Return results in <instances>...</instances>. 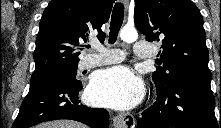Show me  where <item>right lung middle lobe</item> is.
I'll return each mask as SVG.
<instances>
[{"label": "right lung middle lobe", "instance_id": "right-lung-middle-lobe-1", "mask_svg": "<svg viewBox=\"0 0 221 128\" xmlns=\"http://www.w3.org/2000/svg\"><path fill=\"white\" fill-rule=\"evenodd\" d=\"M76 73H77V65L65 67L45 75L31 76L30 85H35L52 78L69 80L77 84H81L80 81L76 79Z\"/></svg>", "mask_w": 221, "mask_h": 128}]
</instances>
